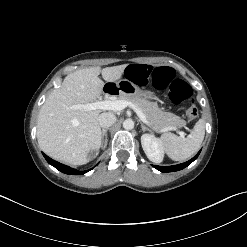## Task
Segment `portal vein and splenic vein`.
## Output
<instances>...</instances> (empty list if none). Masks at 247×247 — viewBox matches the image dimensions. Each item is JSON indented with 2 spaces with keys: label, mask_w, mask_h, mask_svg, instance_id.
Segmentation results:
<instances>
[{
  "label": "portal vein and splenic vein",
  "mask_w": 247,
  "mask_h": 247,
  "mask_svg": "<svg viewBox=\"0 0 247 247\" xmlns=\"http://www.w3.org/2000/svg\"><path fill=\"white\" fill-rule=\"evenodd\" d=\"M127 106H129L132 109H134V111L136 112V114L138 115V117L141 119L142 122L148 124L147 118L144 115V113L141 111V109H139L133 103L127 102V101H122V100L96 101V102H93V103L82 104V105L81 104H77V105H74L72 108H74V109H84L86 111L97 110V109L120 111V110L126 108ZM168 130H176V128H172V127L171 128H165V129L161 130V132H165V131H168ZM178 133L181 136H184L183 132L178 131Z\"/></svg>",
  "instance_id": "portal-vein-and-splenic-vein-1"
}]
</instances>
